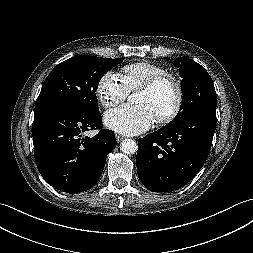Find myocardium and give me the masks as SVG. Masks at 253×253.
I'll return each instance as SVG.
<instances>
[{
  "instance_id": "myocardium-1",
  "label": "myocardium",
  "mask_w": 253,
  "mask_h": 253,
  "mask_svg": "<svg viewBox=\"0 0 253 253\" xmlns=\"http://www.w3.org/2000/svg\"><path fill=\"white\" fill-rule=\"evenodd\" d=\"M164 85L169 86L173 90L174 103L169 111L156 118L157 123L161 125H166L173 122L182 110L184 103V92L180 81L174 75L165 73L163 75L154 77L140 88L143 92L154 94Z\"/></svg>"
}]
</instances>
